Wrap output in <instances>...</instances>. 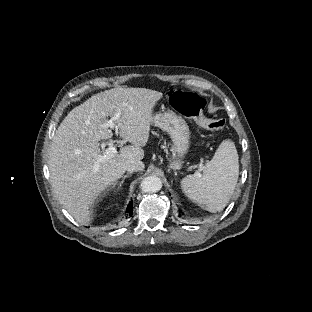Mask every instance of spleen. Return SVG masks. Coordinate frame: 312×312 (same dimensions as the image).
<instances>
[{"mask_svg":"<svg viewBox=\"0 0 312 312\" xmlns=\"http://www.w3.org/2000/svg\"><path fill=\"white\" fill-rule=\"evenodd\" d=\"M238 155L230 140L223 141L200 174L180 181L184 196L206 211H218L229 202L238 179Z\"/></svg>","mask_w":312,"mask_h":312,"instance_id":"obj_1","label":"spleen"}]
</instances>
